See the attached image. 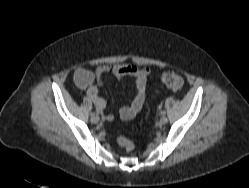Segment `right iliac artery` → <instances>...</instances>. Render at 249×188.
I'll return each mask as SVG.
<instances>
[{
  "instance_id": "82829eb1",
  "label": "right iliac artery",
  "mask_w": 249,
  "mask_h": 188,
  "mask_svg": "<svg viewBox=\"0 0 249 188\" xmlns=\"http://www.w3.org/2000/svg\"><path fill=\"white\" fill-rule=\"evenodd\" d=\"M90 115H91V117H92V116H95V113H94V112H91V114H90Z\"/></svg>"
}]
</instances>
